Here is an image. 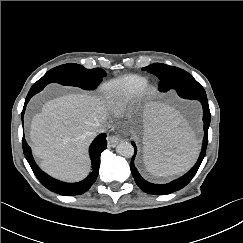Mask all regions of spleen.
<instances>
[{"instance_id":"3e777b00","label":"spleen","mask_w":243,"mask_h":243,"mask_svg":"<svg viewBox=\"0 0 243 243\" xmlns=\"http://www.w3.org/2000/svg\"><path fill=\"white\" fill-rule=\"evenodd\" d=\"M140 115L147 171L166 177L187 170L196 160L199 144L185 119L155 99L142 105Z\"/></svg>"}]
</instances>
